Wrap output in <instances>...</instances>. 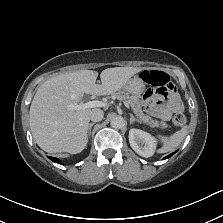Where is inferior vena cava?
Here are the masks:
<instances>
[{
    "label": "inferior vena cava",
    "mask_w": 223,
    "mask_h": 223,
    "mask_svg": "<svg viewBox=\"0 0 223 223\" xmlns=\"http://www.w3.org/2000/svg\"><path fill=\"white\" fill-rule=\"evenodd\" d=\"M103 116H104V113L101 109L94 108V109H92L89 118L94 122H98V121L102 120Z\"/></svg>",
    "instance_id": "1"
}]
</instances>
